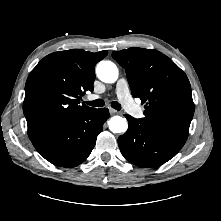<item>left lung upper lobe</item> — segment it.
<instances>
[{
  "mask_svg": "<svg viewBox=\"0 0 221 221\" xmlns=\"http://www.w3.org/2000/svg\"><path fill=\"white\" fill-rule=\"evenodd\" d=\"M112 56L126 70L132 96L146 103L141 120L157 132L186 141L194 114L186 74L152 49L134 47L114 51Z\"/></svg>",
  "mask_w": 221,
  "mask_h": 221,
  "instance_id": "5c2ea615",
  "label": "left lung upper lobe"
}]
</instances>
